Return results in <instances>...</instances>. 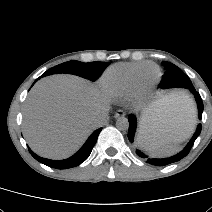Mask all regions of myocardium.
Instances as JSON below:
<instances>
[{"label": "myocardium", "instance_id": "obj_1", "mask_svg": "<svg viewBox=\"0 0 212 212\" xmlns=\"http://www.w3.org/2000/svg\"><path fill=\"white\" fill-rule=\"evenodd\" d=\"M143 71H141L138 75H137V86H136V90L133 94H135L138 97H143L146 95V93L149 91L150 85L148 84H142L140 81V76L142 74ZM161 77V73L160 70L158 68L157 73L155 74V79L156 81H158Z\"/></svg>", "mask_w": 212, "mask_h": 212}]
</instances>
